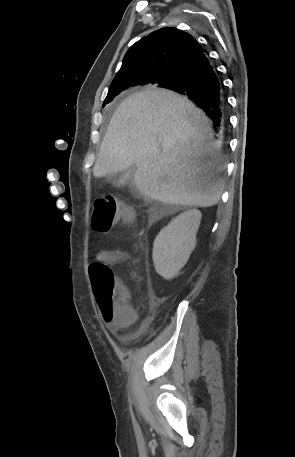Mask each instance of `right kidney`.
<instances>
[{"label": "right kidney", "instance_id": "ca27d5eb", "mask_svg": "<svg viewBox=\"0 0 295 457\" xmlns=\"http://www.w3.org/2000/svg\"><path fill=\"white\" fill-rule=\"evenodd\" d=\"M201 212L188 210L178 215L157 235L153 244L156 272L165 279L175 277L195 248Z\"/></svg>", "mask_w": 295, "mask_h": 457}]
</instances>
